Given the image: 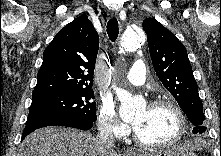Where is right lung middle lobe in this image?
I'll return each mask as SVG.
<instances>
[{
  "label": "right lung middle lobe",
  "instance_id": "obj_1",
  "mask_svg": "<svg viewBox=\"0 0 221 156\" xmlns=\"http://www.w3.org/2000/svg\"><path fill=\"white\" fill-rule=\"evenodd\" d=\"M91 89L58 92L35 98L26 125L51 121H92L96 117Z\"/></svg>",
  "mask_w": 221,
  "mask_h": 156
}]
</instances>
